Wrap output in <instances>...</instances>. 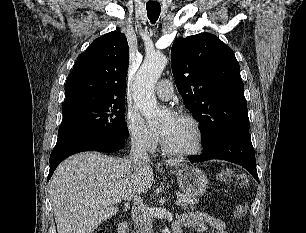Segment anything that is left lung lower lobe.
Listing matches in <instances>:
<instances>
[{
	"instance_id": "1",
	"label": "left lung lower lobe",
	"mask_w": 306,
	"mask_h": 233,
	"mask_svg": "<svg viewBox=\"0 0 306 233\" xmlns=\"http://www.w3.org/2000/svg\"><path fill=\"white\" fill-rule=\"evenodd\" d=\"M200 156L190 157L195 162L221 159L244 167L258 182L256 160L249 132H234L221 135L203 145Z\"/></svg>"
}]
</instances>
